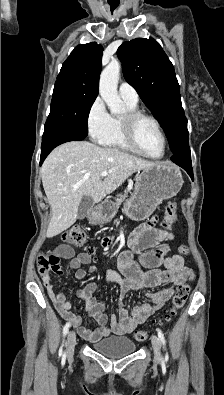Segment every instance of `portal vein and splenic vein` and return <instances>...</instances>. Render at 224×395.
Masks as SVG:
<instances>
[{"mask_svg": "<svg viewBox=\"0 0 224 395\" xmlns=\"http://www.w3.org/2000/svg\"><path fill=\"white\" fill-rule=\"evenodd\" d=\"M108 174H109V172L103 171V172L101 173V176H102V177H106Z\"/></svg>", "mask_w": 224, "mask_h": 395, "instance_id": "18ae733b", "label": "portal vein and splenic vein"}]
</instances>
